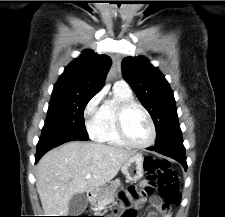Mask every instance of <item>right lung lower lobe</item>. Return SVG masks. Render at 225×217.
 <instances>
[{
  "instance_id": "1",
  "label": "right lung lower lobe",
  "mask_w": 225,
  "mask_h": 217,
  "mask_svg": "<svg viewBox=\"0 0 225 217\" xmlns=\"http://www.w3.org/2000/svg\"><path fill=\"white\" fill-rule=\"evenodd\" d=\"M74 140H88L75 136H64L58 134H50L41 136L39 142L37 144V154H36V162L42 157L50 149L59 146L65 142L74 141Z\"/></svg>"
}]
</instances>
